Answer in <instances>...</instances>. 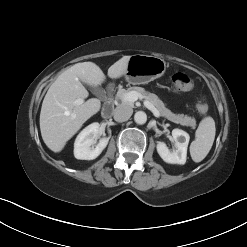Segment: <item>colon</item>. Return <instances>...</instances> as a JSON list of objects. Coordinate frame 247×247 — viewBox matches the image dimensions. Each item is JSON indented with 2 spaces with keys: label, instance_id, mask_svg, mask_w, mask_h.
<instances>
[{
  "label": "colon",
  "instance_id": "colon-1",
  "mask_svg": "<svg viewBox=\"0 0 247 247\" xmlns=\"http://www.w3.org/2000/svg\"><path fill=\"white\" fill-rule=\"evenodd\" d=\"M172 84L177 91H190L193 88L192 80L181 72H177L172 76ZM197 110L201 115H205L208 112V105L203 97L197 103Z\"/></svg>",
  "mask_w": 247,
  "mask_h": 247
}]
</instances>
